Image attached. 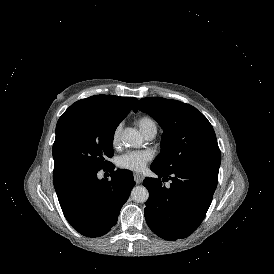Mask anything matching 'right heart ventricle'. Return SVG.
I'll use <instances>...</instances> for the list:
<instances>
[{
    "instance_id": "right-heart-ventricle-1",
    "label": "right heart ventricle",
    "mask_w": 274,
    "mask_h": 274,
    "mask_svg": "<svg viewBox=\"0 0 274 274\" xmlns=\"http://www.w3.org/2000/svg\"><path fill=\"white\" fill-rule=\"evenodd\" d=\"M153 122V120L149 117H141L138 119V124H139V128H140V131L149 123Z\"/></svg>"
}]
</instances>
